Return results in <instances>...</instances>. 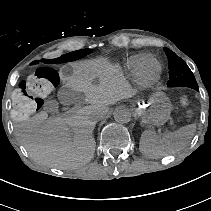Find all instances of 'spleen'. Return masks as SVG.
<instances>
[{"label":"spleen","mask_w":211,"mask_h":211,"mask_svg":"<svg viewBox=\"0 0 211 211\" xmlns=\"http://www.w3.org/2000/svg\"><path fill=\"white\" fill-rule=\"evenodd\" d=\"M195 129V125H188L161 134L146 129L140 136L139 150L149 158L165 157L185 147L192 139Z\"/></svg>","instance_id":"obj_1"}]
</instances>
